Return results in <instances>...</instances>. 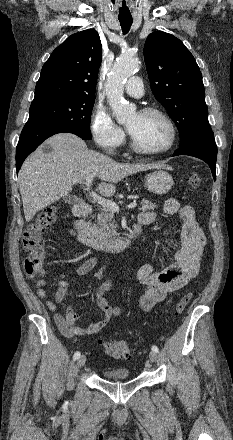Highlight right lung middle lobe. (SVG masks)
Instances as JSON below:
<instances>
[{
  "label": "right lung middle lobe",
  "instance_id": "obj_1",
  "mask_svg": "<svg viewBox=\"0 0 233 440\" xmlns=\"http://www.w3.org/2000/svg\"><path fill=\"white\" fill-rule=\"evenodd\" d=\"M94 101L95 98L57 97L32 103L27 124L70 127L90 140Z\"/></svg>",
  "mask_w": 233,
  "mask_h": 440
}]
</instances>
